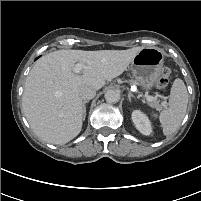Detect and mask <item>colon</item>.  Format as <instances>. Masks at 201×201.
<instances>
[{
    "mask_svg": "<svg viewBox=\"0 0 201 201\" xmlns=\"http://www.w3.org/2000/svg\"><path fill=\"white\" fill-rule=\"evenodd\" d=\"M170 74H171L170 68L165 67L162 70L161 75L156 83L158 89H165L168 86Z\"/></svg>",
    "mask_w": 201,
    "mask_h": 201,
    "instance_id": "colon-1",
    "label": "colon"
}]
</instances>
